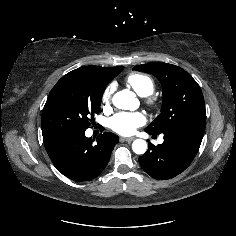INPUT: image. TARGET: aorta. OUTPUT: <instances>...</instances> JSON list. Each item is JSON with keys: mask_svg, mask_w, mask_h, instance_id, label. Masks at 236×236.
<instances>
[{"mask_svg": "<svg viewBox=\"0 0 236 236\" xmlns=\"http://www.w3.org/2000/svg\"><path fill=\"white\" fill-rule=\"evenodd\" d=\"M134 95L128 90L117 92L112 99L113 104L120 109H128L134 102ZM132 150L136 154H144L147 150V142L143 139H136L132 144Z\"/></svg>", "mask_w": 236, "mask_h": 236, "instance_id": "1", "label": "aorta"}]
</instances>
